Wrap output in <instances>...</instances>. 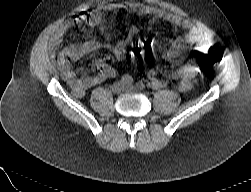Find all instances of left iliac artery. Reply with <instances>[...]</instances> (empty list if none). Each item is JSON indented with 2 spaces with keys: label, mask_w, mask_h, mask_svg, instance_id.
I'll use <instances>...</instances> for the list:
<instances>
[{
  "label": "left iliac artery",
  "mask_w": 251,
  "mask_h": 192,
  "mask_svg": "<svg viewBox=\"0 0 251 192\" xmlns=\"http://www.w3.org/2000/svg\"><path fill=\"white\" fill-rule=\"evenodd\" d=\"M136 86H137V88H138L139 90H143V89L145 88V83H143V82H138V83L136 84ZM147 86H150V83H148Z\"/></svg>",
  "instance_id": "44dca946"
}]
</instances>
